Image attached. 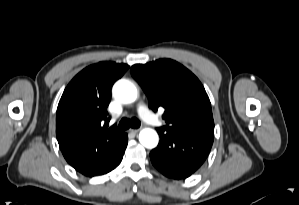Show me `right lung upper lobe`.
I'll use <instances>...</instances> for the list:
<instances>
[{"instance_id":"right-lung-upper-lobe-1","label":"right lung upper lobe","mask_w":299,"mask_h":205,"mask_svg":"<svg viewBox=\"0 0 299 205\" xmlns=\"http://www.w3.org/2000/svg\"><path fill=\"white\" fill-rule=\"evenodd\" d=\"M129 68L100 62L83 69L68 84L56 115V136L66 161L90 175L121 146L125 133L107 129L111 87Z\"/></svg>"}]
</instances>
